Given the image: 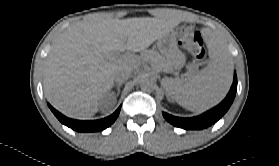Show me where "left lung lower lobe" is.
I'll list each match as a JSON object with an SVG mask.
<instances>
[{"mask_svg": "<svg viewBox=\"0 0 279 166\" xmlns=\"http://www.w3.org/2000/svg\"><path fill=\"white\" fill-rule=\"evenodd\" d=\"M237 91V76L234 74V81L227 97L216 107L206 113L192 118H179L163 112L164 118L176 127L183 129H204L216 123L230 108Z\"/></svg>", "mask_w": 279, "mask_h": 166, "instance_id": "obj_1", "label": "left lung lower lobe"}]
</instances>
